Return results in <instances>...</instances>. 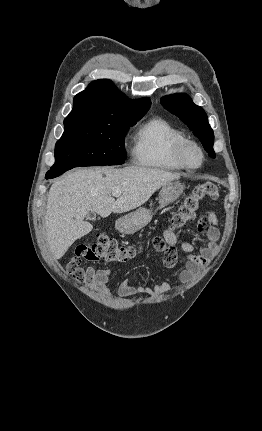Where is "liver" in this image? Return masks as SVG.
<instances>
[{
  "instance_id": "6515ba94",
  "label": "liver",
  "mask_w": 262,
  "mask_h": 431,
  "mask_svg": "<svg viewBox=\"0 0 262 431\" xmlns=\"http://www.w3.org/2000/svg\"><path fill=\"white\" fill-rule=\"evenodd\" d=\"M180 178L168 171L131 166L82 168L68 173L50 188L45 216L46 240L55 259L92 230L84 221L89 211L102 218L146 203L162 186ZM121 191L114 199L112 193Z\"/></svg>"
}]
</instances>
